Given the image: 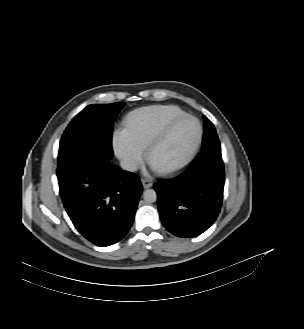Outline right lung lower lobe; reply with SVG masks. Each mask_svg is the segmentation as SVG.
I'll list each match as a JSON object with an SVG mask.
<instances>
[{"label": "right lung lower lobe", "mask_w": 304, "mask_h": 329, "mask_svg": "<svg viewBox=\"0 0 304 329\" xmlns=\"http://www.w3.org/2000/svg\"><path fill=\"white\" fill-rule=\"evenodd\" d=\"M60 194L77 230L98 246L121 240L142 193L139 178L108 161L82 159L57 169Z\"/></svg>", "instance_id": "right-lung-lower-lobe-1"}]
</instances>
